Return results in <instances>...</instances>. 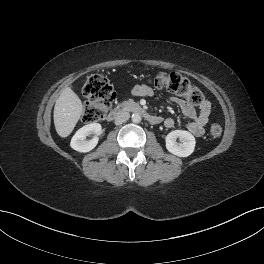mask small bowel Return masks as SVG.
I'll use <instances>...</instances> for the list:
<instances>
[{"instance_id":"small-bowel-1","label":"small bowel","mask_w":264,"mask_h":264,"mask_svg":"<svg viewBox=\"0 0 264 264\" xmlns=\"http://www.w3.org/2000/svg\"><path fill=\"white\" fill-rule=\"evenodd\" d=\"M132 94L138 97H150L153 95V90L146 84H139L132 89ZM169 100L175 103L179 107L182 115L188 119L186 125L187 129L197 137L202 136L210 120V102L208 100H203L202 103L199 104V111L197 112L185 99L170 97ZM164 125L167 128H172L175 125V120L173 118H166L164 120Z\"/></svg>"}]
</instances>
